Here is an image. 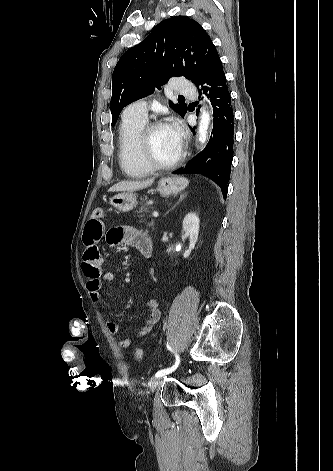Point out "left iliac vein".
Here are the masks:
<instances>
[{
	"instance_id": "1",
	"label": "left iliac vein",
	"mask_w": 333,
	"mask_h": 471,
	"mask_svg": "<svg viewBox=\"0 0 333 471\" xmlns=\"http://www.w3.org/2000/svg\"><path fill=\"white\" fill-rule=\"evenodd\" d=\"M162 380V376L156 377L150 381V391L153 393L158 388Z\"/></svg>"
}]
</instances>
